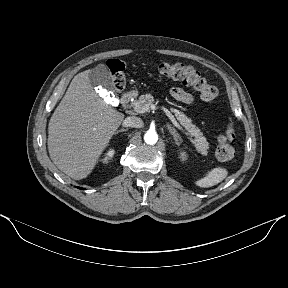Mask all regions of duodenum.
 <instances>
[{
	"label": "duodenum",
	"mask_w": 288,
	"mask_h": 288,
	"mask_svg": "<svg viewBox=\"0 0 288 288\" xmlns=\"http://www.w3.org/2000/svg\"><path fill=\"white\" fill-rule=\"evenodd\" d=\"M134 98V93L131 91L125 92L121 97V104L127 105Z\"/></svg>",
	"instance_id": "410a0bca"
}]
</instances>
